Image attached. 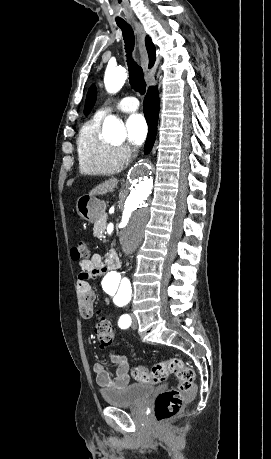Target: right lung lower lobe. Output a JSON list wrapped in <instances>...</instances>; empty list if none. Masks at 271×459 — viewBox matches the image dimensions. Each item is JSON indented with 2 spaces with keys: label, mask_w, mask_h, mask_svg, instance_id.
<instances>
[{
  "label": "right lung lower lobe",
  "mask_w": 271,
  "mask_h": 459,
  "mask_svg": "<svg viewBox=\"0 0 271 459\" xmlns=\"http://www.w3.org/2000/svg\"><path fill=\"white\" fill-rule=\"evenodd\" d=\"M143 105L145 117L149 126V133L145 143V153H149L155 141L159 114V94L155 87H149Z\"/></svg>",
  "instance_id": "right-lung-lower-lobe-1"
}]
</instances>
